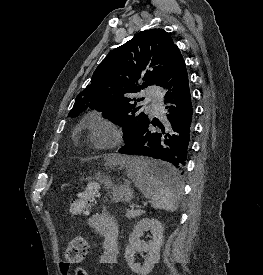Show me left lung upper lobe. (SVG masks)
I'll use <instances>...</instances> for the list:
<instances>
[{
  "mask_svg": "<svg viewBox=\"0 0 263 275\" xmlns=\"http://www.w3.org/2000/svg\"><path fill=\"white\" fill-rule=\"evenodd\" d=\"M179 50L163 29L139 32L112 50L96 68L91 83L75 99L69 117L87 108L103 112L105 118L123 128L124 141L148 120L137 103V93L148 85H158L173 54Z\"/></svg>",
  "mask_w": 263,
  "mask_h": 275,
  "instance_id": "1",
  "label": "left lung upper lobe"
}]
</instances>
